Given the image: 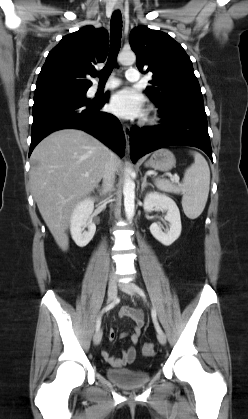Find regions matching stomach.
<instances>
[{"mask_svg": "<svg viewBox=\"0 0 248 419\" xmlns=\"http://www.w3.org/2000/svg\"><path fill=\"white\" fill-rule=\"evenodd\" d=\"M175 163V157L170 150L159 149L152 154L145 166L155 170L168 171L175 166Z\"/></svg>", "mask_w": 248, "mask_h": 419, "instance_id": "1", "label": "stomach"}]
</instances>
